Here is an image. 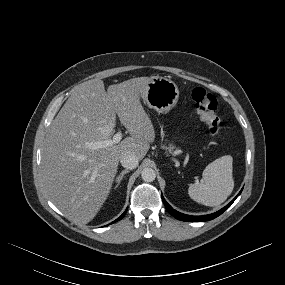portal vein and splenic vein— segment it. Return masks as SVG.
Returning a JSON list of instances; mask_svg holds the SVG:
<instances>
[{
    "instance_id": "portal-vein-and-splenic-vein-1",
    "label": "portal vein and splenic vein",
    "mask_w": 285,
    "mask_h": 285,
    "mask_svg": "<svg viewBox=\"0 0 285 285\" xmlns=\"http://www.w3.org/2000/svg\"><path fill=\"white\" fill-rule=\"evenodd\" d=\"M121 139H122V133L119 131L113 136L111 140L87 143L86 147L89 149H99L106 146H110L112 144H117L121 141Z\"/></svg>"
}]
</instances>
